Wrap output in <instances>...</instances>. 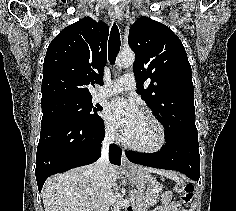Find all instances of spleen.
<instances>
[{"mask_svg": "<svg viewBox=\"0 0 236 211\" xmlns=\"http://www.w3.org/2000/svg\"><path fill=\"white\" fill-rule=\"evenodd\" d=\"M162 176H166V175H162ZM173 176H174V175L172 174L171 176H167V177H171V178H172ZM162 179H163V177H162Z\"/></svg>", "mask_w": 236, "mask_h": 211, "instance_id": "obj_1", "label": "spleen"}]
</instances>
